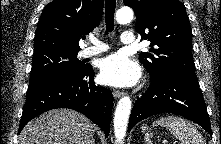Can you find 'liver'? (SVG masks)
<instances>
[{"label": "liver", "mask_w": 221, "mask_h": 144, "mask_svg": "<svg viewBox=\"0 0 221 144\" xmlns=\"http://www.w3.org/2000/svg\"><path fill=\"white\" fill-rule=\"evenodd\" d=\"M92 122L70 109H53L30 121L19 135V144H92Z\"/></svg>", "instance_id": "6515ba94"}]
</instances>
